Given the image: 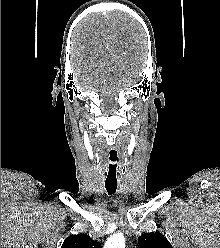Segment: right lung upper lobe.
I'll return each mask as SVG.
<instances>
[{
  "label": "right lung upper lobe",
  "mask_w": 220,
  "mask_h": 248,
  "mask_svg": "<svg viewBox=\"0 0 220 248\" xmlns=\"http://www.w3.org/2000/svg\"><path fill=\"white\" fill-rule=\"evenodd\" d=\"M61 248H102L100 243L93 241L87 234L69 236Z\"/></svg>",
  "instance_id": "right-lung-upper-lobe-1"
}]
</instances>
